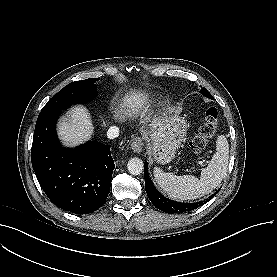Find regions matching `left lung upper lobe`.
<instances>
[{"mask_svg":"<svg viewBox=\"0 0 277 277\" xmlns=\"http://www.w3.org/2000/svg\"><path fill=\"white\" fill-rule=\"evenodd\" d=\"M201 94H203L205 97L209 98V99H213L212 95L205 89V88H202L201 89Z\"/></svg>","mask_w":277,"mask_h":277,"instance_id":"obj_1","label":"left lung upper lobe"}]
</instances>
